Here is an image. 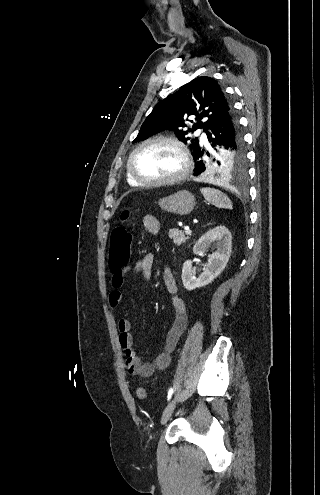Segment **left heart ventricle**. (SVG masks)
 Returning <instances> with one entry per match:
<instances>
[{
    "mask_svg": "<svg viewBox=\"0 0 320 495\" xmlns=\"http://www.w3.org/2000/svg\"><path fill=\"white\" fill-rule=\"evenodd\" d=\"M133 164L139 176L152 180L175 175L181 169L182 161L174 146L165 142H156L139 150Z\"/></svg>",
    "mask_w": 320,
    "mask_h": 495,
    "instance_id": "1",
    "label": "left heart ventricle"
}]
</instances>
